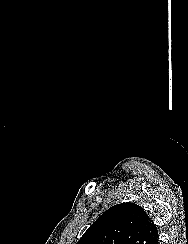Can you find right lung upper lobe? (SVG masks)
Returning a JSON list of instances; mask_svg holds the SVG:
<instances>
[{
    "label": "right lung upper lobe",
    "mask_w": 188,
    "mask_h": 244,
    "mask_svg": "<svg viewBox=\"0 0 188 244\" xmlns=\"http://www.w3.org/2000/svg\"><path fill=\"white\" fill-rule=\"evenodd\" d=\"M157 235V228L144 209L127 202L104 212L77 244H150Z\"/></svg>",
    "instance_id": "1"
}]
</instances>
